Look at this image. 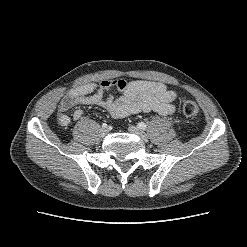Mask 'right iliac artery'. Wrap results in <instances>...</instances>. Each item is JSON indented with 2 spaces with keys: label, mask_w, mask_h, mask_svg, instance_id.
<instances>
[{
  "label": "right iliac artery",
  "mask_w": 247,
  "mask_h": 247,
  "mask_svg": "<svg viewBox=\"0 0 247 247\" xmlns=\"http://www.w3.org/2000/svg\"><path fill=\"white\" fill-rule=\"evenodd\" d=\"M102 127L106 128L107 127V124L106 123H103L102 124Z\"/></svg>",
  "instance_id": "82829eb1"
}]
</instances>
